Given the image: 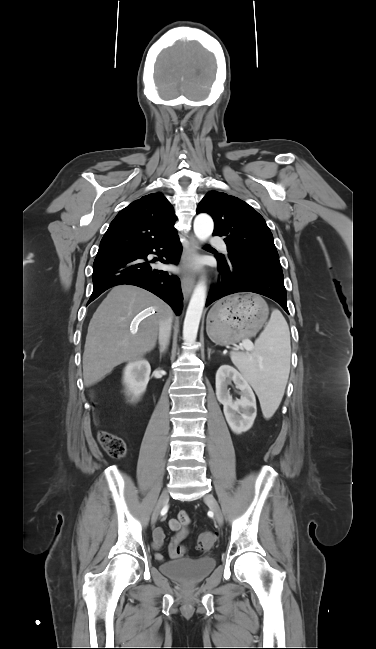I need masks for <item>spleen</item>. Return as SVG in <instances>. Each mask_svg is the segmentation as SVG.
Segmentation results:
<instances>
[{"label":"spleen","instance_id":"1","mask_svg":"<svg viewBox=\"0 0 376 649\" xmlns=\"http://www.w3.org/2000/svg\"><path fill=\"white\" fill-rule=\"evenodd\" d=\"M290 332L288 324L278 309L272 311L264 331L255 341L251 355L243 352L231 354V360L249 381L259 396L265 418L277 410L290 372Z\"/></svg>","mask_w":376,"mask_h":649}]
</instances>
